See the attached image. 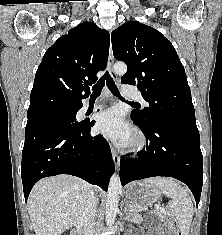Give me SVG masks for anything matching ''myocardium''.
<instances>
[{
  "label": "myocardium",
  "instance_id": "myocardium-1",
  "mask_svg": "<svg viewBox=\"0 0 222 235\" xmlns=\"http://www.w3.org/2000/svg\"><path fill=\"white\" fill-rule=\"evenodd\" d=\"M145 146H146V139H145L144 135L141 133H137L134 136V138L130 144V150L132 152L137 153V152L142 151L145 148Z\"/></svg>",
  "mask_w": 222,
  "mask_h": 235
}]
</instances>
